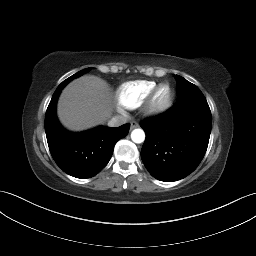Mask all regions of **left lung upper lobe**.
<instances>
[{
	"label": "left lung upper lobe",
	"instance_id": "5c2ea615",
	"mask_svg": "<svg viewBox=\"0 0 256 256\" xmlns=\"http://www.w3.org/2000/svg\"><path fill=\"white\" fill-rule=\"evenodd\" d=\"M175 79L178 82V98L176 104L195 100L206 101L204 95L196 85L190 83L179 75H176Z\"/></svg>",
	"mask_w": 256,
	"mask_h": 256
}]
</instances>
